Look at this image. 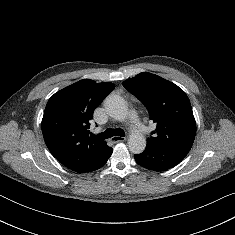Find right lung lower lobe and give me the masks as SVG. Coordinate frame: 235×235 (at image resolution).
<instances>
[{"mask_svg":"<svg viewBox=\"0 0 235 235\" xmlns=\"http://www.w3.org/2000/svg\"><path fill=\"white\" fill-rule=\"evenodd\" d=\"M112 154V148L109 146H106L96 157L92 162L81 171L82 172H91L94 170H97L101 168L108 160V158Z\"/></svg>","mask_w":235,"mask_h":235,"instance_id":"obj_1","label":"right lung lower lobe"}]
</instances>
